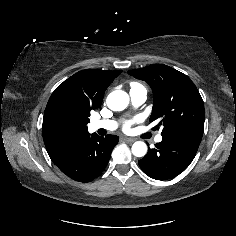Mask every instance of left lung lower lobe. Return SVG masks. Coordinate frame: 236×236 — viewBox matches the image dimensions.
Here are the masks:
<instances>
[{
    "label": "left lung lower lobe",
    "mask_w": 236,
    "mask_h": 236,
    "mask_svg": "<svg viewBox=\"0 0 236 236\" xmlns=\"http://www.w3.org/2000/svg\"><path fill=\"white\" fill-rule=\"evenodd\" d=\"M201 134H177L163 137L154 149L139 160L143 172L156 180L172 179L183 172L194 159Z\"/></svg>",
    "instance_id": "left-lung-lower-lobe-1"
}]
</instances>
